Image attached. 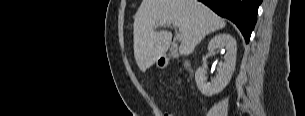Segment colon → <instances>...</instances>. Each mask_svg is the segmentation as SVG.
<instances>
[{
	"label": "colon",
	"instance_id": "obj_1",
	"mask_svg": "<svg viewBox=\"0 0 305 116\" xmlns=\"http://www.w3.org/2000/svg\"><path fill=\"white\" fill-rule=\"evenodd\" d=\"M175 87H179L180 86V82H179V79H177L176 81H175ZM162 116H174V114H172V113H170V112H164L163 114H162Z\"/></svg>",
	"mask_w": 305,
	"mask_h": 116
}]
</instances>
